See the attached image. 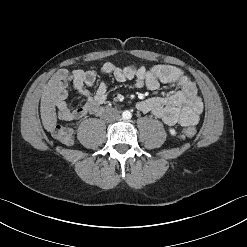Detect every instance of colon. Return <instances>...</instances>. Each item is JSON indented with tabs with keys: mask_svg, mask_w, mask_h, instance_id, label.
Returning a JSON list of instances; mask_svg holds the SVG:
<instances>
[{
	"mask_svg": "<svg viewBox=\"0 0 247 247\" xmlns=\"http://www.w3.org/2000/svg\"><path fill=\"white\" fill-rule=\"evenodd\" d=\"M196 134L194 127H188L181 131L180 137L183 139L192 138ZM53 135L56 139L64 144H70L72 142V130L64 125H57L53 130Z\"/></svg>",
	"mask_w": 247,
	"mask_h": 247,
	"instance_id": "5ec220e1",
	"label": "colon"
}]
</instances>
